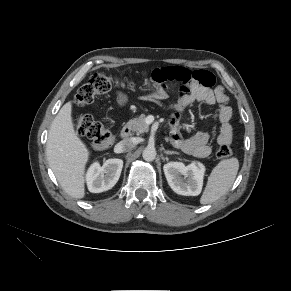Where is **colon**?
<instances>
[{
    "instance_id": "obj_1",
    "label": "colon",
    "mask_w": 291,
    "mask_h": 291,
    "mask_svg": "<svg viewBox=\"0 0 291 291\" xmlns=\"http://www.w3.org/2000/svg\"><path fill=\"white\" fill-rule=\"evenodd\" d=\"M201 79H204V77L201 76ZM159 80L161 79L157 78L153 72L150 74L144 73L140 78V81L144 84ZM134 84V79L127 75L109 76L103 73H96L78 90L75 96V106L77 108L84 107L92 103L96 96L106 94L113 88H129L133 87ZM75 127L81 136L91 140V145L94 149H105L113 141L112 133L89 114L77 115ZM232 154L233 151L228 145H221L216 151V155L220 159H228Z\"/></svg>"
}]
</instances>
